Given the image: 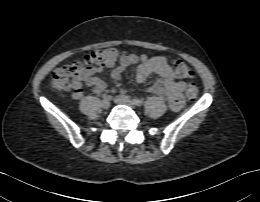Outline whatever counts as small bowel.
<instances>
[{
	"label": "small bowel",
	"instance_id": "1",
	"mask_svg": "<svg viewBox=\"0 0 260 202\" xmlns=\"http://www.w3.org/2000/svg\"><path fill=\"white\" fill-rule=\"evenodd\" d=\"M137 62H140L136 69L137 82L143 83L150 75H157L158 79L148 87V91L165 99L172 109L176 111L180 110L183 105L182 93L186 89V84L175 80L172 68L164 57L125 54L121 57L119 65L111 71L110 77L121 83L123 71L132 67ZM96 72L98 71H89L74 79L73 98L80 99L83 96V83L90 87L96 94L106 89V83L95 76ZM120 92H125V88L122 85Z\"/></svg>",
	"mask_w": 260,
	"mask_h": 202
}]
</instances>
